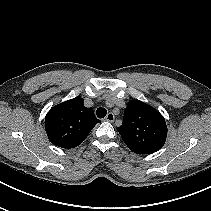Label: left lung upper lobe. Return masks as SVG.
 Returning <instances> with one entry per match:
<instances>
[{"label":"left lung upper lobe","mask_w":211,"mask_h":211,"mask_svg":"<svg viewBox=\"0 0 211 211\" xmlns=\"http://www.w3.org/2000/svg\"><path fill=\"white\" fill-rule=\"evenodd\" d=\"M117 130L128 148L137 154L158 151L163 147L167 136L164 117L156 109L139 100L128 103L123 124Z\"/></svg>","instance_id":"1"}]
</instances>
